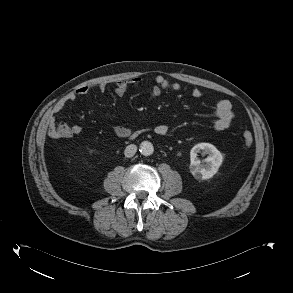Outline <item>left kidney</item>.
I'll use <instances>...</instances> for the list:
<instances>
[{
	"instance_id": "5707ae66",
	"label": "left kidney",
	"mask_w": 293,
	"mask_h": 293,
	"mask_svg": "<svg viewBox=\"0 0 293 293\" xmlns=\"http://www.w3.org/2000/svg\"><path fill=\"white\" fill-rule=\"evenodd\" d=\"M203 151L209 156L205 159L206 164H201L197 157L198 153ZM190 172L196 179H210L217 172L223 162V155L221 152L210 143L196 144L190 151Z\"/></svg>"
}]
</instances>
